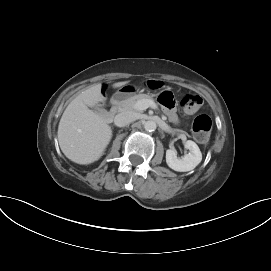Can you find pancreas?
Wrapping results in <instances>:
<instances>
[{
  "label": "pancreas",
  "instance_id": "pancreas-1",
  "mask_svg": "<svg viewBox=\"0 0 271 271\" xmlns=\"http://www.w3.org/2000/svg\"><path fill=\"white\" fill-rule=\"evenodd\" d=\"M140 100L153 101V98L146 94H137L121 102L120 111H136L135 104Z\"/></svg>",
  "mask_w": 271,
  "mask_h": 271
}]
</instances>
